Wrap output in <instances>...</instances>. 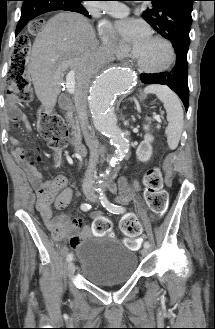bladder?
Instances as JSON below:
<instances>
[{
	"instance_id": "obj_1",
	"label": "bladder",
	"mask_w": 215,
	"mask_h": 329,
	"mask_svg": "<svg viewBox=\"0 0 215 329\" xmlns=\"http://www.w3.org/2000/svg\"><path fill=\"white\" fill-rule=\"evenodd\" d=\"M79 275L96 286L130 280L136 273L138 258L117 238L90 237L77 247Z\"/></svg>"
}]
</instances>
